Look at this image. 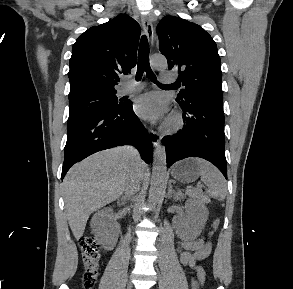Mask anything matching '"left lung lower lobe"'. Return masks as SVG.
Returning a JSON list of instances; mask_svg holds the SVG:
<instances>
[{
    "label": "left lung lower lobe",
    "instance_id": "0a47b994",
    "mask_svg": "<svg viewBox=\"0 0 293 289\" xmlns=\"http://www.w3.org/2000/svg\"><path fill=\"white\" fill-rule=\"evenodd\" d=\"M176 100L183 110L184 126L177 134L163 138L167 167L187 157H200L227 179L223 102L205 97Z\"/></svg>",
    "mask_w": 293,
    "mask_h": 289
}]
</instances>
